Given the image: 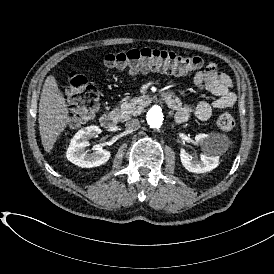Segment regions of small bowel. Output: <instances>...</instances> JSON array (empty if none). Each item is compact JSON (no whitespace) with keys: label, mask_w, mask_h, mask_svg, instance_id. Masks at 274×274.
<instances>
[{"label":"small bowel","mask_w":274,"mask_h":274,"mask_svg":"<svg viewBox=\"0 0 274 274\" xmlns=\"http://www.w3.org/2000/svg\"><path fill=\"white\" fill-rule=\"evenodd\" d=\"M193 82L198 89L213 94L216 99L212 102L180 105L175 109V120L179 124L186 122L191 115L199 121H207L214 109L230 108L236 102L231 78L220 72L214 62H209L204 69L198 70L194 74Z\"/></svg>","instance_id":"obj_1"}]
</instances>
